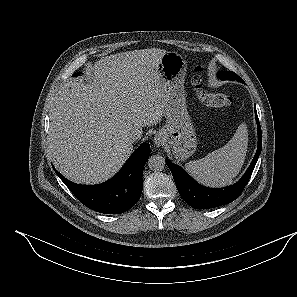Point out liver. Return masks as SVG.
Returning <instances> with one entry per match:
<instances>
[{
  "label": "liver",
  "instance_id": "obj_1",
  "mask_svg": "<svg viewBox=\"0 0 297 297\" xmlns=\"http://www.w3.org/2000/svg\"><path fill=\"white\" fill-rule=\"evenodd\" d=\"M166 50L141 49L97 61L90 84L65 83L50 114V156L57 170L78 184L102 183L133 152L131 129L165 116L158 64Z\"/></svg>",
  "mask_w": 297,
  "mask_h": 297
}]
</instances>
